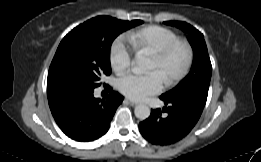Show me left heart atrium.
<instances>
[{"label": "left heart atrium", "mask_w": 261, "mask_h": 162, "mask_svg": "<svg viewBox=\"0 0 261 162\" xmlns=\"http://www.w3.org/2000/svg\"><path fill=\"white\" fill-rule=\"evenodd\" d=\"M164 83L162 74L154 70L145 74H125L117 80V88L133 100H143L149 95L160 92Z\"/></svg>", "instance_id": "39dd6f15"}]
</instances>
